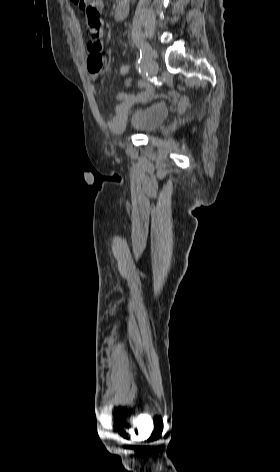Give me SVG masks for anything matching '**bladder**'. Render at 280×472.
<instances>
[{
	"label": "bladder",
	"instance_id": "1",
	"mask_svg": "<svg viewBox=\"0 0 280 472\" xmlns=\"http://www.w3.org/2000/svg\"><path fill=\"white\" fill-rule=\"evenodd\" d=\"M167 116L168 108L163 103L137 104L130 109L128 122L134 131L149 134L156 131Z\"/></svg>",
	"mask_w": 280,
	"mask_h": 472
}]
</instances>
